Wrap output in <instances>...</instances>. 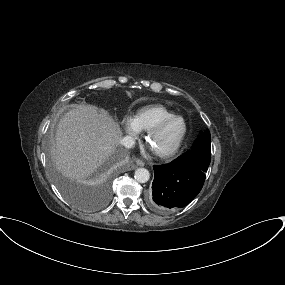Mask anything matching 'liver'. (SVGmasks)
<instances>
[{
	"label": "liver",
	"mask_w": 285,
	"mask_h": 285,
	"mask_svg": "<svg viewBox=\"0 0 285 285\" xmlns=\"http://www.w3.org/2000/svg\"><path fill=\"white\" fill-rule=\"evenodd\" d=\"M53 160L63 175L82 181L120 144L119 124L96 106L79 104L66 112L56 130Z\"/></svg>",
	"instance_id": "1"
}]
</instances>
